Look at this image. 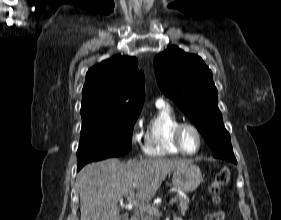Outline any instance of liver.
Masks as SVG:
<instances>
[{
	"mask_svg": "<svg viewBox=\"0 0 281 220\" xmlns=\"http://www.w3.org/2000/svg\"><path fill=\"white\" fill-rule=\"evenodd\" d=\"M192 163L164 158L121 163L110 158L87 164L77 178L80 220H121L118 203L124 196L136 190V200L144 204L155 196L171 171Z\"/></svg>",
	"mask_w": 281,
	"mask_h": 220,
	"instance_id": "obj_1",
	"label": "liver"
}]
</instances>
